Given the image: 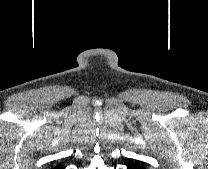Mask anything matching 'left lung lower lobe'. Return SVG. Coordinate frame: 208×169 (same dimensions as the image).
Returning <instances> with one entry per match:
<instances>
[{"label":"left lung lower lobe","mask_w":208,"mask_h":169,"mask_svg":"<svg viewBox=\"0 0 208 169\" xmlns=\"http://www.w3.org/2000/svg\"><path fill=\"white\" fill-rule=\"evenodd\" d=\"M128 169H144V168L138 163L137 164L133 163L128 165Z\"/></svg>","instance_id":"0a47b994"}]
</instances>
